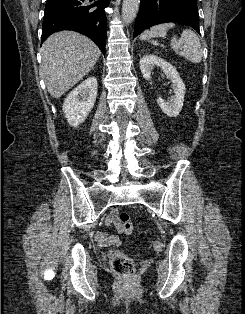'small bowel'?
Listing matches in <instances>:
<instances>
[{
	"mask_svg": "<svg viewBox=\"0 0 245 314\" xmlns=\"http://www.w3.org/2000/svg\"><path fill=\"white\" fill-rule=\"evenodd\" d=\"M106 226H115L118 232H121L117 221V210H113L106 218ZM95 239L101 246L119 245L121 243L120 237L117 233L106 234L104 232H96Z\"/></svg>",
	"mask_w": 245,
	"mask_h": 314,
	"instance_id": "c3829d8e",
	"label": "small bowel"
}]
</instances>
